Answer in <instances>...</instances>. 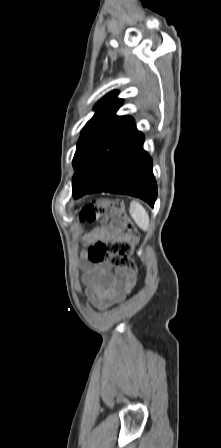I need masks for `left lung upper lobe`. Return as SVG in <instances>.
<instances>
[{
	"instance_id": "obj_1",
	"label": "left lung upper lobe",
	"mask_w": 221,
	"mask_h": 448,
	"mask_svg": "<svg viewBox=\"0 0 221 448\" xmlns=\"http://www.w3.org/2000/svg\"><path fill=\"white\" fill-rule=\"evenodd\" d=\"M117 94L118 91L107 94L95 106L94 116L83 128L73 158L76 170L94 165L138 133L132 117L115 115L123 104L122 99L115 98Z\"/></svg>"
}]
</instances>
